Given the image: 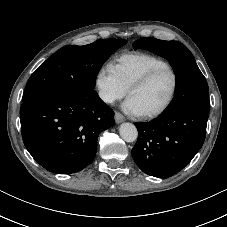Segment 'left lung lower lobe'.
<instances>
[{
	"instance_id": "left-lung-lower-lobe-1",
	"label": "left lung lower lobe",
	"mask_w": 227,
	"mask_h": 227,
	"mask_svg": "<svg viewBox=\"0 0 227 227\" xmlns=\"http://www.w3.org/2000/svg\"><path fill=\"white\" fill-rule=\"evenodd\" d=\"M207 120V112L182 109L163 113L147 123H135L138 140L132 149L134 161L148 175H175L202 147Z\"/></svg>"
}]
</instances>
